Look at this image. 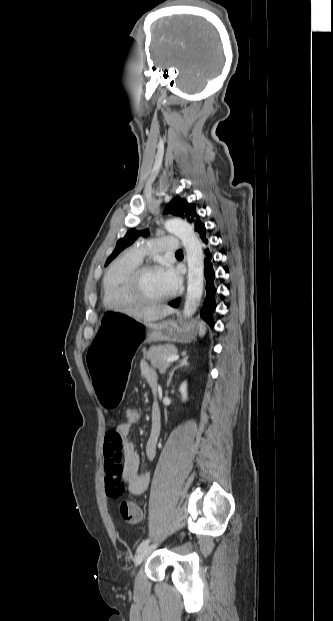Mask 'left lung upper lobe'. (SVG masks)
<instances>
[{"mask_svg":"<svg viewBox=\"0 0 333 621\" xmlns=\"http://www.w3.org/2000/svg\"><path fill=\"white\" fill-rule=\"evenodd\" d=\"M166 213L178 215L186 219L190 224L195 227V231L203 225L199 215H197L196 205L188 203L187 200L183 197L173 198L165 207L164 214ZM148 234L149 233L147 229L138 231L133 228L128 230L126 235L118 240L114 251L106 260L105 266H107L124 248L131 245L140 236L147 237Z\"/></svg>","mask_w":333,"mask_h":621,"instance_id":"left-lung-upper-lobe-1","label":"left lung upper lobe"}]
</instances>
